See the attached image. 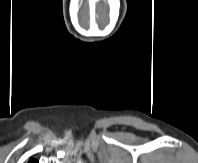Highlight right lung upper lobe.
<instances>
[{
	"instance_id": "cb5924a9",
	"label": "right lung upper lobe",
	"mask_w": 198,
	"mask_h": 163,
	"mask_svg": "<svg viewBox=\"0 0 198 163\" xmlns=\"http://www.w3.org/2000/svg\"><path fill=\"white\" fill-rule=\"evenodd\" d=\"M28 163H38V161L35 160V159H30V160L28 161Z\"/></svg>"
}]
</instances>
